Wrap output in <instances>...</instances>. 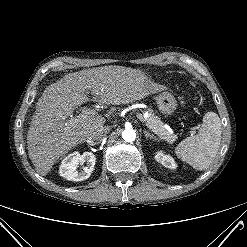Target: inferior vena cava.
I'll return each mask as SVG.
<instances>
[{
  "instance_id": "obj_1",
  "label": "inferior vena cava",
  "mask_w": 247,
  "mask_h": 247,
  "mask_svg": "<svg viewBox=\"0 0 247 247\" xmlns=\"http://www.w3.org/2000/svg\"><path fill=\"white\" fill-rule=\"evenodd\" d=\"M106 134L107 129L102 126L89 135L87 142L89 144H98L106 137Z\"/></svg>"
}]
</instances>
